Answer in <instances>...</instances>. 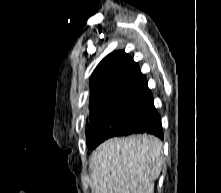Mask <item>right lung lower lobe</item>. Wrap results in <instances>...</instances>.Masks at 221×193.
I'll list each match as a JSON object with an SVG mask.
<instances>
[{"label":"right lung lower lobe","instance_id":"obj_1","mask_svg":"<svg viewBox=\"0 0 221 193\" xmlns=\"http://www.w3.org/2000/svg\"><path fill=\"white\" fill-rule=\"evenodd\" d=\"M151 103L153 106L152 112L142 122L120 136H127L134 133H149L163 139L161 118L153 105V101H151Z\"/></svg>","mask_w":221,"mask_h":193}]
</instances>
